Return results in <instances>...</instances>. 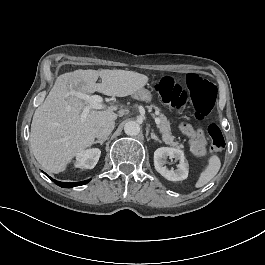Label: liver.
<instances>
[{
	"label": "liver",
	"instance_id": "liver-1",
	"mask_svg": "<svg viewBox=\"0 0 265 265\" xmlns=\"http://www.w3.org/2000/svg\"><path fill=\"white\" fill-rule=\"evenodd\" d=\"M101 77L102 83H96ZM148 82L146 75L125 70H76L57 77L44 102L35 110L31 124L30 144L36 160L51 172L66 169L72 158L90 147L95 127L104 120L117 119L115 106L90 110L84 122L80 116L86 102L69 95L70 89L85 94L100 92L108 96L132 95Z\"/></svg>",
	"mask_w": 265,
	"mask_h": 265
}]
</instances>
